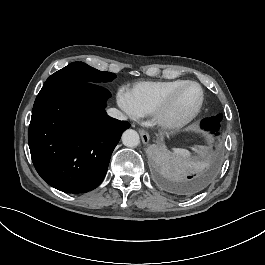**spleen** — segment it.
Here are the masks:
<instances>
[{"instance_id":"3e777b00","label":"spleen","mask_w":265,"mask_h":265,"mask_svg":"<svg viewBox=\"0 0 265 265\" xmlns=\"http://www.w3.org/2000/svg\"><path fill=\"white\" fill-rule=\"evenodd\" d=\"M175 152V154H177V155H184L185 157H190V153H189V151H187V150H183V149H177V150H175L174 151Z\"/></svg>"}]
</instances>
